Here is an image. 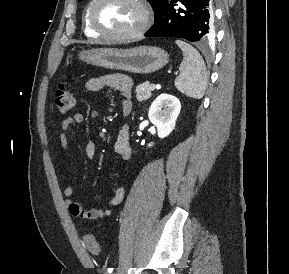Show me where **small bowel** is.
<instances>
[{"instance_id": "obj_1", "label": "small bowel", "mask_w": 289, "mask_h": 274, "mask_svg": "<svg viewBox=\"0 0 289 274\" xmlns=\"http://www.w3.org/2000/svg\"><path fill=\"white\" fill-rule=\"evenodd\" d=\"M105 88L118 90L122 96L124 110H130V93L132 88V80L128 76L122 74L106 75L91 78L85 83V90L89 92H95ZM83 119V114L77 111L61 123L60 146L64 153L68 152V134L71 126L81 123ZM114 151L123 162L130 159L131 149L129 145V127L127 125H123L119 129L114 144ZM84 153L88 158L95 157L96 145L93 141L86 142L84 146ZM122 176L125 177L126 173H123ZM124 192V187L119 185L115 189L114 195L109 199L106 207L86 208L81 202L73 199L74 189L71 184L64 188V196L66 198V203L70 213L77 218L86 220H98L111 216L112 208L122 202Z\"/></svg>"}]
</instances>
